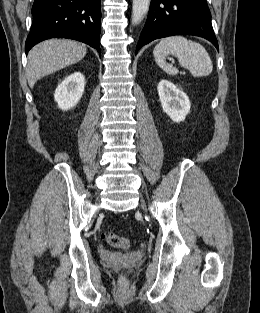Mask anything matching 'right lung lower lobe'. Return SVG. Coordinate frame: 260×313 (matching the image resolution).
Returning <instances> with one entry per match:
<instances>
[{
  "instance_id": "obj_1",
  "label": "right lung lower lobe",
  "mask_w": 260,
  "mask_h": 313,
  "mask_svg": "<svg viewBox=\"0 0 260 313\" xmlns=\"http://www.w3.org/2000/svg\"><path fill=\"white\" fill-rule=\"evenodd\" d=\"M26 54L37 43L53 38L84 42L100 53L101 0H35Z\"/></svg>"
}]
</instances>
